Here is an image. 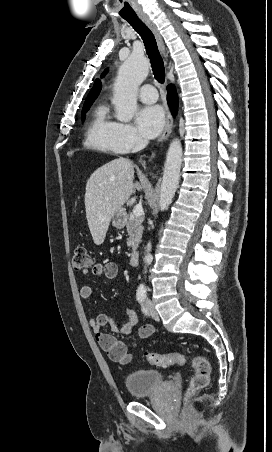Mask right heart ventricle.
<instances>
[{
    "mask_svg": "<svg viewBox=\"0 0 272 452\" xmlns=\"http://www.w3.org/2000/svg\"><path fill=\"white\" fill-rule=\"evenodd\" d=\"M119 123L111 119L108 108L101 104L93 112L85 134V145L89 148L122 153L117 145L116 132Z\"/></svg>",
    "mask_w": 272,
    "mask_h": 452,
    "instance_id": "right-heart-ventricle-1",
    "label": "right heart ventricle"
}]
</instances>
